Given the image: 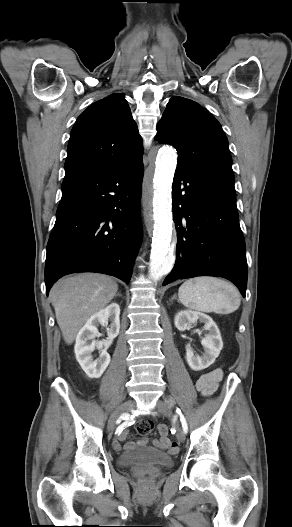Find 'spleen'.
Listing matches in <instances>:
<instances>
[{
	"instance_id": "3e777b00",
	"label": "spleen",
	"mask_w": 292,
	"mask_h": 527,
	"mask_svg": "<svg viewBox=\"0 0 292 527\" xmlns=\"http://www.w3.org/2000/svg\"><path fill=\"white\" fill-rule=\"evenodd\" d=\"M179 301L187 308L228 314L240 306V293L232 284L215 277L186 280L178 290Z\"/></svg>"
}]
</instances>
